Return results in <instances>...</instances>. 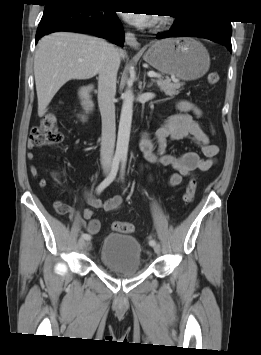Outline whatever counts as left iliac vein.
<instances>
[{"label":"left iliac vein","mask_w":261,"mask_h":355,"mask_svg":"<svg viewBox=\"0 0 261 355\" xmlns=\"http://www.w3.org/2000/svg\"><path fill=\"white\" fill-rule=\"evenodd\" d=\"M153 249H154V252H155L156 254H159V253H160L161 248H160V245H159V244H155V245L153 246Z\"/></svg>","instance_id":"1"}]
</instances>
